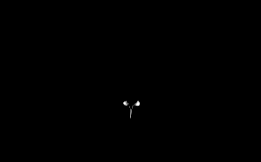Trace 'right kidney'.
<instances>
[{"instance_id": "ca27d5eb", "label": "right kidney", "mask_w": 261, "mask_h": 162, "mask_svg": "<svg viewBox=\"0 0 261 162\" xmlns=\"http://www.w3.org/2000/svg\"><path fill=\"white\" fill-rule=\"evenodd\" d=\"M91 75H93L92 71H85L74 80L73 94L76 98L81 100H93L98 98L105 91L106 86H103L98 90H88V87L90 85V82H88V78Z\"/></svg>"}]
</instances>
